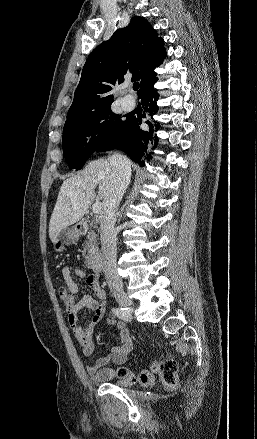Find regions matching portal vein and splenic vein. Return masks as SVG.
<instances>
[{
	"instance_id": "18ae733b",
	"label": "portal vein and splenic vein",
	"mask_w": 257,
	"mask_h": 439,
	"mask_svg": "<svg viewBox=\"0 0 257 439\" xmlns=\"http://www.w3.org/2000/svg\"><path fill=\"white\" fill-rule=\"evenodd\" d=\"M101 208H102V203L98 201L93 205L92 212L94 214H97L101 211Z\"/></svg>"
}]
</instances>
